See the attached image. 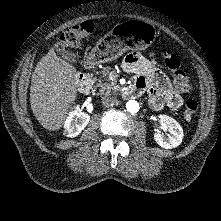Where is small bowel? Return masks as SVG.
I'll use <instances>...</instances> for the list:
<instances>
[{"instance_id": "small-bowel-1", "label": "small bowel", "mask_w": 221, "mask_h": 221, "mask_svg": "<svg viewBox=\"0 0 221 221\" xmlns=\"http://www.w3.org/2000/svg\"><path fill=\"white\" fill-rule=\"evenodd\" d=\"M122 68L126 72L137 74L134 86L139 95L148 93L152 109L160 110L165 106L172 111L180 109L183 104L181 94L188 91H181L176 84L172 85L169 78L146 56L130 52L125 56Z\"/></svg>"}]
</instances>
